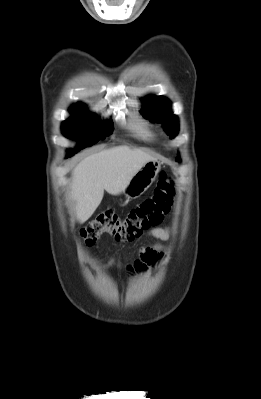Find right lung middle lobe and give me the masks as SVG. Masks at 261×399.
<instances>
[{
  "mask_svg": "<svg viewBox=\"0 0 261 399\" xmlns=\"http://www.w3.org/2000/svg\"><path fill=\"white\" fill-rule=\"evenodd\" d=\"M73 116L62 123L63 134L70 139H83L81 148L92 146L98 140L104 139L113 132V123H102L98 121L94 115L86 111L83 104H77L70 108ZM76 153L75 149L71 150L67 157Z\"/></svg>",
  "mask_w": 261,
  "mask_h": 399,
  "instance_id": "right-lung-middle-lobe-1",
  "label": "right lung middle lobe"
}]
</instances>
